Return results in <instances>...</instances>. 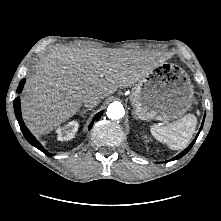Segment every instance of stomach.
Masks as SVG:
<instances>
[{
	"label": "stomach",
	"instance_id": "0dacf381",
	"mask_svg": "<svg viewBox=\"0 0 221 221\" xmlns=\"http://www.w3.org/2000/svg\"><path fill=\"white\" fill-rule=\"evenodd\" d=\"M193 86L183 70L156 66L133 87L130 102L141 120L169 121L181 117L193 101Z\"/></svg>",
	"mask_w": 221,
	"mask_h": 221
}]
</instances>
